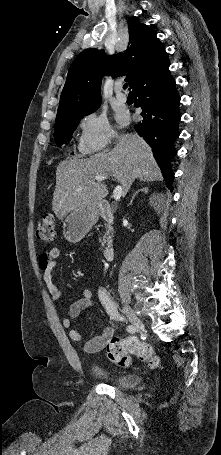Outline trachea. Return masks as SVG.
I'll return each instance as SVG.
<instances>
[{"label": "trachea", "instance_id": "1", "mask_svg": "<svg viewBox=\"0 0 221 455\" xmlns=\"http://www.w3.org/2000/svg\"><path fill=\"white\" fill-rule=\"evenodd\" d=\"M128 87V84H124L123 89H126Z\"/></svg>", "mask_w": 221, "mask_h": 455}]
</instances>
